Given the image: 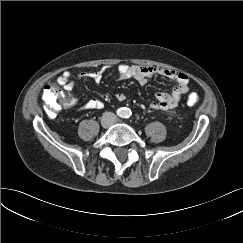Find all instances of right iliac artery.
I'll list each match as a JSON object with an SVG mask.
<instances>
[{
  "mask_svg": "<svg viewBox=\"0 0 243 243\" xmlns=\"http://www.w3.org/2000/svg\"><path fill=\"white\" fill-rule=\"evenodd\" d=\"M117 114L119 115V116H123L124 115V111H123V108H120L118 111H117Z\"/></svg>",
  "mask_w": 243,
  "mask_h": 243,
  "instance_id": "right-iliac-artery-1",
  "label": "right iliac artery"
}]
</instances>
